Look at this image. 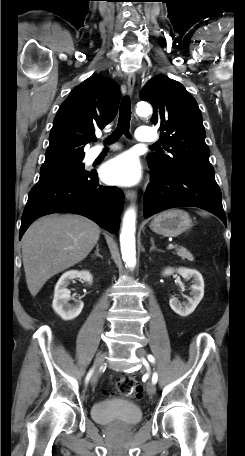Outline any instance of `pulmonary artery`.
Returning a JSON list of instances; mask_svg holds the SVG:
<instances>
[{"label":"pulmonary artery","mask_w":245,"mask_h":456,"mask_svg":"<svg viewBox=\"0 0 245 456\" xmlns=\"http://www.w3.org/2000/svg\"><path fill=\"white\" fill-rule=\"evenodd\" d=\"M136 138L140 142H154L157 140L158 136L154 129L150 127H140L136 131ZM103 150L104 148L102 146L94 147L89 153V158L91 160L97 158Z\"/></svg>","instance_id":"pulmonary-artery-1"}]
</instances>
